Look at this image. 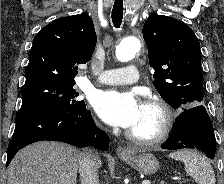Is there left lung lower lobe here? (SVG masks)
Here are the masks:
<instances>
[{"label":"left lung lower lobe","mask_w":224,"mask_h":184,"mask_svg":"<svg viewBox=\"0 0 224 184\" xmlns=\"http://www.w3.org/2000/svg\"><path fill=\"white\" fill-rule=\"evenodd\" d=\"M163 149L177 150L182 148L198 149L214 158L216 140L213 125L203 105L190 107L174 123L172 134Z\"/></svg>","instance_id":"0a47b994"}]
</instances>
